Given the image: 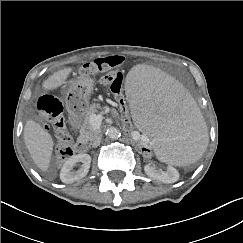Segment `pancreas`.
Returning <instances> with one entry per match:
<instances>
[{"label":"pancreas","instance_id":"obj_1","mask_svg":"<svg viewBox=\"0 0 243 243\" xmlns=\"http://www.w3.org/2000/svg\"><path fill=\"white\" fill-rule=\"evenodd\" d=\"M100 108V104L93 103L87 110L86 116L83 120V124L80 128V138L87 141H92V139L99 134L100 130L94 128L91 124L90 118L93 114L97 112Z\"/></svg>","mask_w":243,"mask_h":243}]
</instances>
